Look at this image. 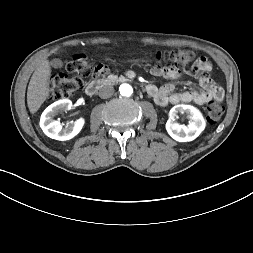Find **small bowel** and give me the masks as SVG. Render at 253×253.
<instances>
[{"label": "small bowel", "mask_w": 253, "mask_h": 253, "mask_svg": "<svg viewBox=\"0 0 253 253\" xmlns=\"http://www.w3.org/2000/svg\"><path fill=\"white\" fill-rule=\"evenodd\" d=\"M211 65L206 57H200L185 66L184 72L188 78L195 79L199 76L200 89L175 91L176 83H168L161 87L154 84L147 86V92L154 98L160 106L168 104L193 102L197 105H203L211 100H222L224 93L210 77ZM150 73L156 77H165L172 80H178L180 77L179 68L172 62L167 65L162 64L159 67L154 66Z\"/></svg>", "instance_id": "1"}]
</instances>
